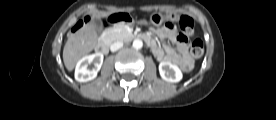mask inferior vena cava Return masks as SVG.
Segmentation results:
<instances>
[{
	"label": "inferior vena cava",
	"instance_id": "inferior-vena-cava-1",
	"mask_svg": "<svg viewBox=\"0 0 276 120\" xmlns=\"http://www.w3.org/2000/svg\"><path fill=\"white\" fill-rule=\"evenodd\" d=\"M122 46H123V43H122V42H115V43H113V44L110 46V50H111L112 52H115V51H117L118 49H120Z\"/></svg>",
	"mask_w": 276,
	"mask_h": 120
}]
</instances>
